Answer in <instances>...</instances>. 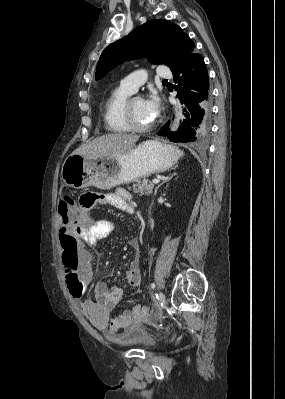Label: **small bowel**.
I'll return each mask as SVG.
<instances>
[{
	"mask_svg": "<svg viewBox=\"0 0 285 399\" xmlns=\"http://www.w3.org/2000/svg\"><path fill=\"white\" fill-rule=\"evenodd\" d=\"M98 203H106L125 208L130 214H135L134 199L125 190H118L114 195L98 193ZM92 210L84 206L80 210L71 209L65 214L66 225L59 232V245L61 256L70 249H75L78 253L79 268L81 275V296H73L80 303V310L85 317L99 330L109 331L114 334H121L126 327H112L110 311L119 303L123 294V284L109 289L104 283L97 282L94 285L95 301L85 300L84 294L89 290L92 274V255L85 250L80 242L86 240L91 244H96L113 233L117 225L105 219H96L89 223L81 220L82 214H88ZM58 220L62 222L64 217L60 210L57 211ZM135 251V256L129 271L123 279V283L130 287H138L142 282L140 262L141 253L138 241H130Z\"/></svg>",
	"mask_w": 285,
	"mask_h": 399,
	"instance_id": "1",
	"label": "small bowel"
}]
</instances>
